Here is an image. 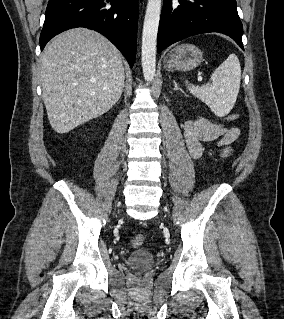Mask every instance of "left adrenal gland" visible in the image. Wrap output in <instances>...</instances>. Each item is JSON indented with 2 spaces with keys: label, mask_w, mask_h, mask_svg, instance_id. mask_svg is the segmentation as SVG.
<instances>
[{
  "label": "left adrenal gland",
  "mask_w": 284,
  "mask_h": 319,
  "mask_svg": "<svg viewBox=\"0 0 284 319\" xmlns=\"http://www.w3.org/2000/svg\"><path fill=\"white\" fill-rule=\"evenodd\" d=\"M173 83H174V91H175V90H178V89H179V87H178V85H177V83H176V81H175V80L173 81Z\"/></svg>",
  "instance_id": "a2214340"
}]
</instances>
